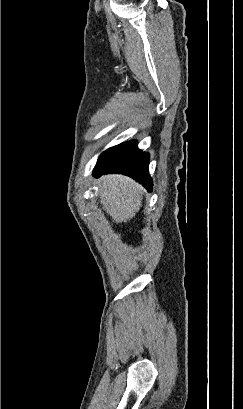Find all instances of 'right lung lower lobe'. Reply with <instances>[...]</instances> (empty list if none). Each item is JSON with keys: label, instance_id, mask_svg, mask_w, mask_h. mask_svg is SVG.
<instances>
[{"label": "right lung lower lobe", "instance_id": "1", "mask_svg": "<svg viewBox=\"0 0 243 409\" xmlns=\"http://www.w3.org/2000/svg\"><path fill=\"white\" fill-rule=\"evenodd\" d=\"M149 154L137 148L135 140L122 143L103 152L94 168L93 176L121 173L132 177L152 191V179L148 171Z\"/></svg>", "mask_w": 243, "mask_h": 409}]
</instances>
